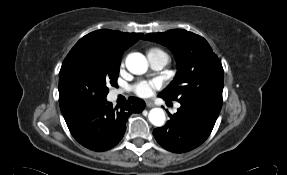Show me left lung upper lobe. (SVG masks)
<instances>
[{
  "mask_svg": "<svg viewBox=\"0 0 287 175\" xmlns=\"http://www.w3.org/2000/svg\"><path fill=\"white\" fill-rule=\"evenodd\" d=\"M144 40L154 41L172 50L177 61V74L160 93L166 100H178L216 121L222 106L224 74L221 61L201 36L174 29L151 33Z\"/></svg>",
  "mask_w": 287,
  "mask_h": 175,
  "instance_id": "obj_1",
  "label": "left lung upper lobe"
}]
</instances>
